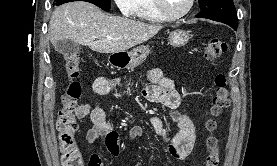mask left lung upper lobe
Returning a JSON list of instances; mask_svg holds the SVG:
<instances>
[{
	"label": "left lung upper lobe",
	"mask_w": 277,
	"mask_h": 166,
	"mask_svg": "<svg viewBox=\"0 0 277 166\" xmlns=\"http://www.w3.org/2000/svg\"><path fill=\"white\" fill-rule=\"evenodd\" d=\"M201 12L197 17L207 18L237 28V14L232 0H199Z\"/></svg>",
	"instance_id": "left-lung-upper-lobe-1"
}]
</instances>
